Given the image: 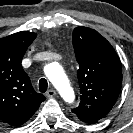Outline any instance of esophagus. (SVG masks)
<instances>
[{"label":"esophagus","instance_id":"34e87169","mask_svg":"<svg viewBox=\"0 0 133 133\" xmlns=\"http://www.w3.org/2000/svg\"><path fill=\"white\" fill-rule=\"evenodd\" d=\"M56 95V91L54 89H50L46 92V96L51 98L54 97Z\"/></svg>","mask_w":133,"mask_h":133}]
</instances>
